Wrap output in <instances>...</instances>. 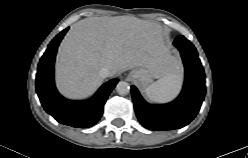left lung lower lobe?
Wrapping results in <instances>:
<instances>
[{
  "label": "left lung lower lobe",
  "instance_id": "obj_1",
  "mask_svg": "<svg viewBox=\"0 0 248 158\" xmlns=\"http://www.w3.org/2000/svg\"><path fill=\"white\" fill-rule=\"evenodd\" d=\"M174 46L181 53L185 81L177 99L162 105L145 102L135 86L131 87L136 116L150 130H174L189 124L197 115L205 96V74L197 51L185 37H177Z\"/></svg>",
  "mask_w": 248,
  "mask_h": 158
}]
</instances>
